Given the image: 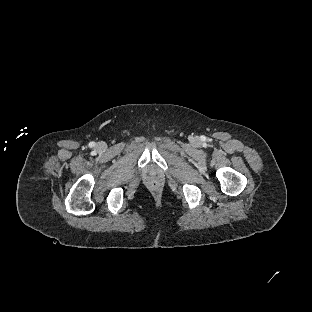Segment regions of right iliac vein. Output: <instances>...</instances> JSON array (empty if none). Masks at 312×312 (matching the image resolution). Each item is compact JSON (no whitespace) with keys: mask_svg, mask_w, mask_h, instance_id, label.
Returning a JSON list of instances; mask_svg holds the SVG:
<instances>
[{"mask_svg":"<svg viewBox=\"0 0 312 312\" xmlns=\"http://www.w3.org/2000/svg\"><path fill=\"white\" fill-rule=\"evenodd\" d=\"M97 147H98V148H101V147H102V144H99Z\"/></svg>","mask_w":312,"mask_h":312,"instance_id":"63e3f726","label":"right iliac vein"}]
</instances>
